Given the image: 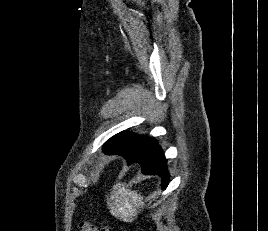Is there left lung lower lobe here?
<instances>
[{"label":"left lung lower lobe","mask_w":268,"mask_h":231,"mask_svg":"<svg viewBox=\"0 0 268 231\" xmlns=\"http://www.w3.org/2000/svg\"><path fill=\"white\" fill-rule=\"evenodd\" d=\"M103 150L107 154H118L126 158L128 165L139 163L142 167V173L146 175H159L162 178V188L165 189L169 181L166 159L156 140H151L142 148L129 147L120 151H111L104 144Z\"/></svg>","instance_id":"left-lung-lower-lobe-1"}]
</instances>
